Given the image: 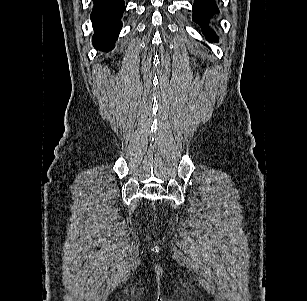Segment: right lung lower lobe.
Wrapping results in <instances>:
<instances>
[{"label":"right lung lower lobe","mask_w":307,"mask_h":301,"mask_svg":"<svg viewBox=\"0 0 307 301\" xmlns=\"http://www.w3.org/2000/svg\"><path fill=\"white\" fill-rule=\"evenodd\" d=\"M93 3V45L97 49L109 51L114 47L121 30L120 18L125 10L124 0H93Z\"/></svg>","instance_id":"1"}]
</instances>
